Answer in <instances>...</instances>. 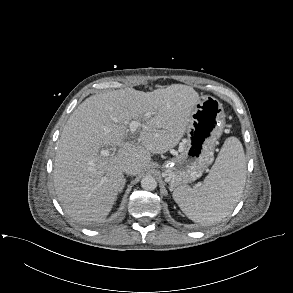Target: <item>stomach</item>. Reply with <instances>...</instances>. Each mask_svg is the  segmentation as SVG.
<instances>
[{"label":"stomach","mask_w":293,"mask_h":293,"mask_svg":"<svg viewBox=\"0 0 293 293\" xmlns=\"http://www.w3.org/2000/svg\"><path fill=\"white\" fill-rule=\"evenodd\" d=\"M224 126L222 104L213 96H201L187 126V138L164 165L170 189L186 186L203 174L213 162L215 144Z\"/></svg>","instance_id":"stomach-1"}]
</instances>
